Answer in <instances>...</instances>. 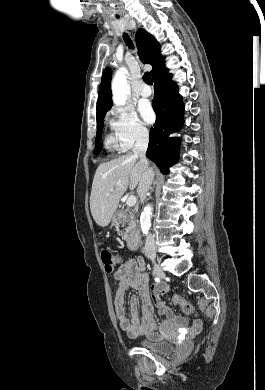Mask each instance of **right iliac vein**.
Wrapping results in <instances>:
<instances>
[{"label": "right iliac vein", "instance_id": "1", "mask_svg": "<svg viewBox=\"0 0 265 390\" xmlns=\"http://www.w3.org/2000/svg\"><path fill=\"white\" fill-rule=\"evenodd\" d=\"M151 261L153 263V274L159 278H164L165 273L162 268L158 264H156L154 257H151Z\"/></svg>", "mask_w": 265, "mask_h": 390}]
</instances>
